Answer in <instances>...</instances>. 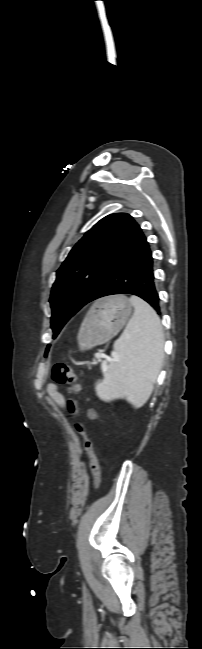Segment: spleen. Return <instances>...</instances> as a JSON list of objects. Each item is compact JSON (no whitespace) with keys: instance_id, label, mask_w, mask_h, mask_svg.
Wrapping results in <instances>:
<instances>
[{"instance_id":"3e777b00","label":"spleen","mask_w":202,"mask_h":649,"mask_svg":"<svg viewBox=\"0 0 202 649\" xmlns=\"http://www.w3.org/2000/svg\"><path fill=\"white\" fill-rule=\"evenodd\" d=\"M134 314L114 344L117 357L95 385L103 400L125 397L135 408L149 399L163 359L164 332L154 309L131 296Z\"/></svg>"}]
</instances>
